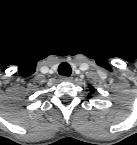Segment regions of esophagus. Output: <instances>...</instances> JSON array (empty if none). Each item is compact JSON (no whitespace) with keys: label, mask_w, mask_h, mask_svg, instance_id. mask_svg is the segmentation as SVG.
<instances>
[{"label":"esophagus","mask_w":137,"mask_h":145,"mask_svg":"<svg viewBox=\"0 0 137 145\" xmlns=\"http://www.w3.org/2000/svg\"><path fill=\"white\" fill-rule=\"evenodd\" d=\"M61 80H62V81H71V80H72V77H69V76H62V77H61Z\"/></svg>","instance_id":"obj_1"}]
</instances>
